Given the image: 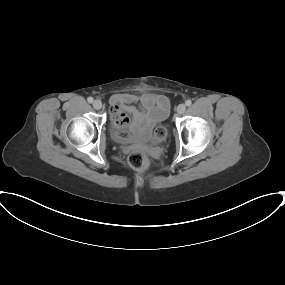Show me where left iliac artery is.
I'll list each match as a JSON object with an SVG mask.
<instances>
[{
    "mask_svg": "<svg viewBox=\"0 0 285 285\" xmlns=\"http://www.w3.org/2000/svg\"><path fill=\"white\" fill-rule=\"evenodd\" d=\"M185 104H186V106H190V105L192 104V102H191V100H187V101L185 102Z\"/></svg>",
    "mask_w": 285,
    "mask_h": 285,
    "instance_id": "left-iliac-artery-1",
    "label": "left iliac artery"
}]
</instances>
